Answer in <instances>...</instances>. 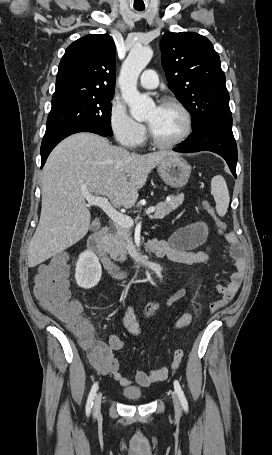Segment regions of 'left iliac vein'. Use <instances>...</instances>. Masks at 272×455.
<instances>
[{
    "instance_id": "left-iliac-vein-1",
    "label": "left iliac vein",
    "mask_w": 272,
    "mask_h": 455,
    "mask_svg": "<svg viewBox=\"0 0 272 455\" xmlns=\"http://www.w3.org/2000/svg\"><path fill=\"white\" fill-rule=\"evenodd\" d=\"M172 398H173V403H174L175 410L177 412H180L181 411V406H180V401H179V398H178V395L176 394V392L172 393Z\"/></svg>"
}]
</instances>
